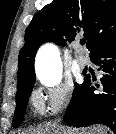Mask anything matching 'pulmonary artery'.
<instances>
[{"label":"pulmonary artery","instance_id":"e3ab8cb5","mask_svg":"<svg viewBox=\"0 0 116 134\" xmlns=\"http://www.w3.org/2000/svg\"><path fill=\"white\" fill-rule=\"evenodd\" d=\"M75 48L77 51H80L81 46L79 44H76ZM77 63L79 64L80 67L84 68V67H87L89 65L90 61H89V58L87 56L79 53L77 56Z\"/></svg>","mask_w":116,"mask_h":134}]
</instances>
